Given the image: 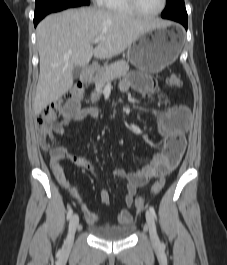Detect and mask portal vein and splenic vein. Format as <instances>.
I'll use <instances>...</instances> for the list:
<instances>
[{"instance_id":"18ae733b","label":"portal vein and splenic vein","mask_w":227,"mask_h":265,"mask_svg":"<svg viewBox=\"0 0 227 265\" xmlns=\"http://www.w3.org/2000/svg\"><path fill=\"white\" fill-rule=\"evenodd\" d=\"M101 40V38H95L94 40H93V43H98L99 41Z\"/></svg>"}]
</instances>
